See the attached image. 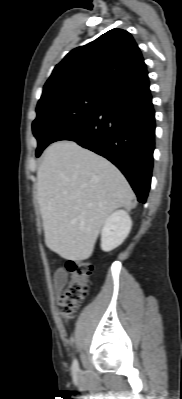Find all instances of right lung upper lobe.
<instances>
[{"label":"right lung upper lobe","instance_id":"1","mask_svg":"<svg viewBox=\"0 0 182 399\" xmlns=\"http://www.w3.org/2000/svg\"><path fill=\"white\" fill-rule=\"evenodd\" d=\"M147 80L146 64L131 34L112 29L70 51L54 68L39 102L74 94L105 97Z\"/></svg>","mask_w":182,"mask_h":399}]
</instances>
